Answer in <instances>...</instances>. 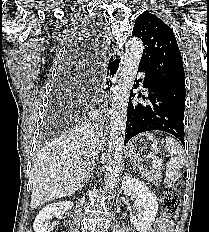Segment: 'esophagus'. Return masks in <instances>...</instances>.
Wrapping results in <instances>:
<instances>
[{
    "instance_id": "esophagus-1",
    "label": "esophagus",
    "mask_w": 209,
    "mask_h": 232,
    "mask_svg": "<svg viewBox=\"0 0 209 232\" xmlns=\"http://www.w3.org/2000/svg\"><path fill=\"white\" fill-rule=\"evenodd\" d=\"M123 64V52L114 49L112 54L110 55L109 63L106 69L107 83H105V89L107 90L108 98L111 97V93L114 90V85L117 80V76L121 70V66ZM102 112L104 114H108V99L103 102L101 105Z\"/></svg>"
}]
</instances>
